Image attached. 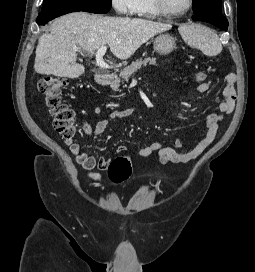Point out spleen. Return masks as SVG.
I'll return each mask as SVG.
<instances>
[{"instance_id": "1", "label": "spleen", "mask_w": 255, "mask_h": 272, "mask_svg": "<svg viewBox=\"0 0 255 272\" xmlns=\"http://www.w3.org/2000/svg\"><path fill=\"white\" fill-rule=\"evenodd\" d=\"M182 39L192 48L200 49L208 56L218 55L222 44L218 35L210 28L201 24H185L179 27Z\"/></svg>"}]
</instances>
